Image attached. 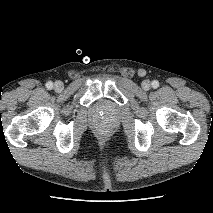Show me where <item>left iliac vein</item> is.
I'll list each match as a JSON object with an SVG mask.
<instances>
[{
  "label": "left iliac vein",
  "mask_w": 213,
  "mask_h": 213,
  "mask_svg": "<svg viewBox=\"0 0 213 213\" xmlns=\"http://www.w3.org/2000/svg\"><path fill=\"white\" fill-rule=\"evenodd\" d=\"M142 87L144 90H149L150 89V81L149 80H144L142 82Z\"/></svg>",
  "instance_id": "left-iliac-vein-1"
}]
</instances>
